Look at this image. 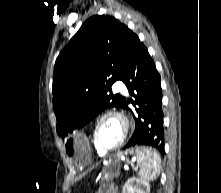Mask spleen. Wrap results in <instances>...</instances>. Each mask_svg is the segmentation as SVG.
I'll return each mask as SVG.
<instances>
[{"label":"spleen","instance_id":"obj_1","mask_svg":"<svg viewBox=\"0 0 221 193\" xmlns=\"http://www.w3.org/2000/svg\"><path fill=\"white\" fill-rule=\"evenodd\" d=\"M136 151L139 176L142 180L153 181L161 171V158L152 146H133Z\"/></svg>","mask_w":221,"mask_h":193}]
</instances>
